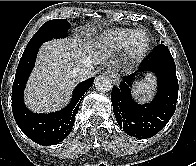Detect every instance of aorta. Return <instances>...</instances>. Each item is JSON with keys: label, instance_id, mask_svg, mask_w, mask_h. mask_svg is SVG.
<instances>
[{"label": "aorta", "instance_id": "aorta-1", "mask_svg": "<svg viewBox=\"0 0 196 166\" xmlns=\"http://www.w3.org/2000/svg\"><path fill=\"white\" fill-rule=\"evenodd\" d=\"M94 85L96 90L100 92H108L112 89V81L108 76L100 75L95 81Z\"/></svg>", "mask_w": 196, "mask_h": 166}]
</instances>
